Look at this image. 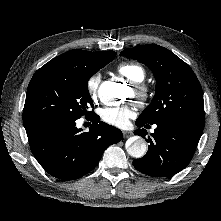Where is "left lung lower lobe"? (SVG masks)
Masks as SVG:
<instances>
[{
    "label": "left lung lower lobe",
    "instance_id": "left-lung-lower-lobe-1",
    "mask_svg": "<svg viewBox=\"0 0 221 221\" xmlns=\"http://www.w3.org/2000/svg\"><path fill=\"white\" fill-rule=\"evenodd\" d=\"M146 123L136 121L138 127ZM155 132L148 137L150 145L146 155L134 160V167L146 175L167 177L184 169L190 162L203 129L173 122L157 123ZM149 126L148 124L145 125ZM145 129L134 134L146 136Z\"/></svg>",
    "mask_w": 221,
    "mask_h": 221
}]
</instances>
